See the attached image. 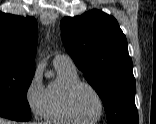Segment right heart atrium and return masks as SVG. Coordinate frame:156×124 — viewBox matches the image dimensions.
Masks as SVG:
<instances>
[{"instance_id": "obj_1", "label": "right heart atrium", "mask_w": 156, "mask_h": 124, "mask_svg": "<svg viewBox=\"0 0 156 124\" xmlns=\"http://www.w3.org/2000/svg\"><path fill=\"white\" fill-rule=\"evenodd\" d=\"M25 100L36 118L45 117L46 88L43 85L42 73L39 69L33 72L25 88Z\"/></svg>"}]
</instances>
